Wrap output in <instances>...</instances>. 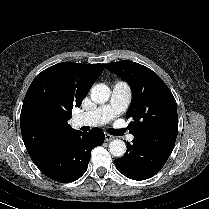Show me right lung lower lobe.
I'll return each mask as SVG.
<instances>
[{"mask_svg":"<svg viewBox=\"0 0 209 209\" xmlns=\"http://www.w3.org/2000/svg\"><path fill=\"white\" fill-rule=\"evenodd\" d=\"M103 142L104 132L99 128L89 133L74 131L35 165L52 180L61 183L75 181L86 172L90 151Z\"/></svg>","mask_w":209,"mask_h":209,"instance_id":"right-lung-lower-lobe-1","label":"right lung lower lobe"}]
</instances>
